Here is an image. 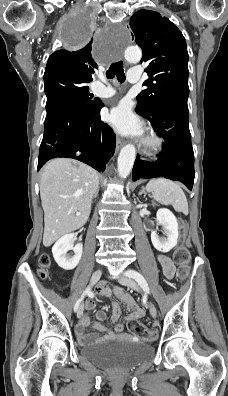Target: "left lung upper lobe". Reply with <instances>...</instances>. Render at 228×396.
I'll return each mask as SVG.
<instances>
[{"instance_id":"5c2ea615","label":"left lung upper lobe","mask_w":228,"mask_h":396,"mask_svg":"<svg viewBox=\"0 0 228 396\" xmlns=\"http://www.w3.org/2000/svg\"><path fill=\"white\" fill-rule=\"evenodd\" d=\"M132 39L142 48L149 78L138 94L137 109L147 116L171 98L188 97V52L181 31L158 12L141 9L130 18Z\"/></svg>"}]
</instances>
